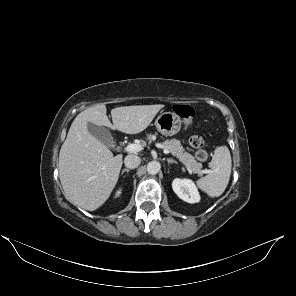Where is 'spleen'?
<instances>
[{"instance_id":"1","label":"spleen","mask_w":296,"mask_h":296,"mask_svg":"<svg viewBox=\"0 0 296 296\" xmlns=\"http://www.w3.org/2000/svg\"><path fill=\"white\" fill-rule=\"evenodd\" d=\"M211 171L197 181L198 187L210 197H219L225 191L231 174L232 160L226 146L218 147L209 163Z\"/></svg>"}]
</instances>
